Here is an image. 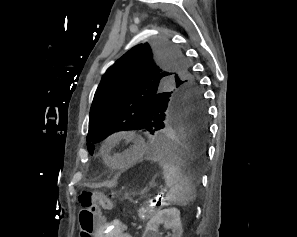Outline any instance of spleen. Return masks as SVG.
I'll list each match as a JSON object with an SVG mask.
<instances>
[{"instance_id": "1", "label": "spleen", "mask_w": 297, "mask_h": 237, "mask_svg": "<svg viewBox=\"0 0 297 237\" xmlns=\"http://www.w3.org/2000/svg\"><path fill=\"white\" fill-rule=\"evenodd\" d=\"M159 164L163 170L165 183L169 188L166 200L179 206H186L193 202L196 197V189L191 179L171 160L161 158Z\"/></svg>"}]
</instances>
